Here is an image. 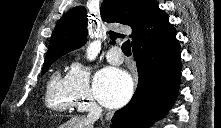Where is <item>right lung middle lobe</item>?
Instances as JSON below:
<instances>
[{
    "instance_id": "right-lung-middle-lobe-1",
    "label": "right lung middle lobe",
    "mask_w": 221,
    "mask_h": 128,
    "mask_svg": "<svg viewBox=\"0 0 221 128\" xmlns=\"http://www.w3.org/2000/svg\"><path fill=\"white\" fill-rule=\"evenodd\" d=\"M58 58H53V59H49L44 61V65H43V69H42V74H44L47 69L51 66V64Z\"/></svg>"
}]
</instances>
